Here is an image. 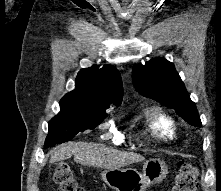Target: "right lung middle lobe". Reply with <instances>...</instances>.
Returning <instances> with one entry per match:
<instances>
[{
  "label": "right lung middle lobe",
  "mask_w": 221,
  "mask_h": 191,
  "mask_svg": "<svg viewBox=\"0 0 221 191\" xmlns=\"http://www.w3.org/2000/svg\"><path fill=\"white\" fill-rule=\"evenodd\" d=\"M105 117L106 114L103 113L61 108L59 114L49 122L44 147L69 141L80 131L94 129Z\"/></svg>",
  "instance_id": "dd1d6c3e"
}]
</instances>
